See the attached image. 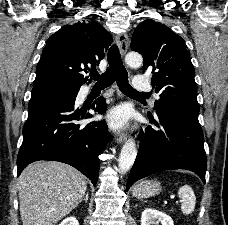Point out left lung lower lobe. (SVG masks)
<instances>
[{"mask_svg":"<svg viewBox=\"0 0 228 225\" xmlns=\"http://www.w3.org/2000/svg\"><path fill=\"white\" fill-rule=\"evenodd\" d=\"M161 127L153 116L149 119L161 130L147 127L142 133L140 147L131 169L127 188L137 180L171 169H186L196 173L205 183L207 159L204 137L198 121L199 111L177 106L156 109Z\"/></svg>","mask_w":228,"mask_h":225,"instance_id":"0a47b994","label":"left lung lower lobe"}]
</instances>
